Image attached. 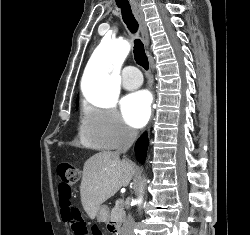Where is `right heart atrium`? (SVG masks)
I'll return each instance as SVG.
<instances>
[{"instance_id":"d8ad5b80","label":"right heart atrium","mask_w":250,"mask_h":235,"mask_svg":"<svg viewBox=\"0 0 250 235\" xmlns=\"http://www.w3.org/2000/svg\"><path fill=\"white\" fill-rule=\"evenodd\" d=\"M79 135L91 147L112 150L130 145L137 134L115 108L86 105L80 121Z\"/></svg>"}]
</instances>
